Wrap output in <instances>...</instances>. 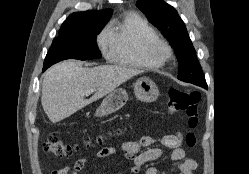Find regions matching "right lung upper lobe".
<instances>
[{
	"instance_id": "right-lung-upper-lobe-1",
	"label": "right lung upper lobe",
	"mask_w": 249,
	"mask_h": 174,
	"mask_svg": "<svg viewBox=\"0 0 249 174\" xmlns=\"http://www.w3.org/2000/svg\"><path fill=\"white\" fill-rule=\"evenodd\" d=\"M112 13L111 9L73 13L64 21L59 32L78 29L94 22H108Z\"/></svg>"
}]
</instances>
